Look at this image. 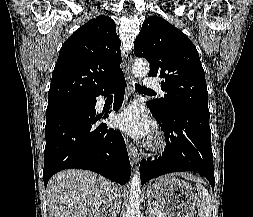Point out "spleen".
Listing matches in <instances>:
<instances>
[{"label": "spleen", "instance_id": "1", "mask_svg": "<svg viewBox=\"0 0 253 217\" xmlns=\"http://www.w3.org/2000/svg\"><path fill=\"white\" fill-rule=\"evenodd\" d=\"M196 189L199 193L198 211L199 217H211L212 200L208 191L200 184H196Z\"/></svg>", "mask_w": 253, "mask_h": 217}]
</instances>
